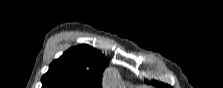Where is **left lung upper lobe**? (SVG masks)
<instances>
[{
	"label": "left lung upper lobe",
	"instance_id": "1",
	"mask_svg": "<svg viewBox=\"0 0 223 88\" xmlns=\"http://www.w3.org/2000/svg\"><path fill=\"white\" fill-rule=\"evenodd\" d=\"M148 82V81H146ZM150 84H153V85H156V86H160L161 88H170L169 85H166V84H163L161 82H158V81H150Z\"/></svg>",
	"mask_w": 223,
	"mask_h": 88
}]
</instances>
